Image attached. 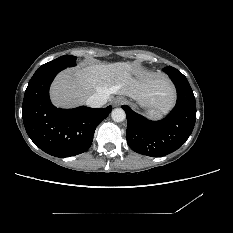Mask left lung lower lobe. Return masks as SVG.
<instances>
[{
    "label": "left lung lower lobe",
    "instance_id": "left-lung-lower-lobe-1",
    "mask_svg": "<svg viewBox=\"0 0 233 233\" xmlns=\"http://www.w3.org/2000/svg\"><path fill=\"white\" fill-rule=\"evenodd\" d=\"M163 70L177 89V103L170 114L162 120L150 121L122 106L127 116V144L133 151L151 157L180 148L192 133L196 120L195 97L186 77L170 66Z\"/></svg>",
    "mask_w": 233,
    "mask_h": 233
}]
</instances>
